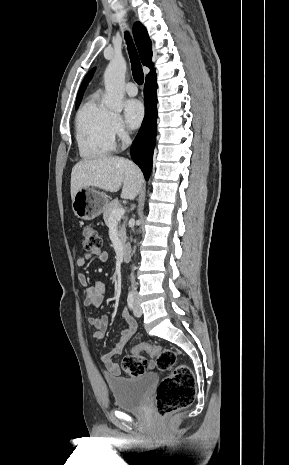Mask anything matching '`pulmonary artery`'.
Wrapping results in <instances>:
<instances>
[{
	"instance_id": "obj_1",
	"label": "pulmonary artery",
	"mask_w": 289,
	"mask_h": 465,
	"mask_svg": "<svg viewBox=\"0 0 289 465\" xmlns=\"http://www.w3.org/2000/svg\"><path fill=\"white\" fill-rule=\"evenodd\" d=\"M125 91L129 96H135L138 92L137 87L133 82H128L125 85Z\"/></svg>"
}]
</instances>
